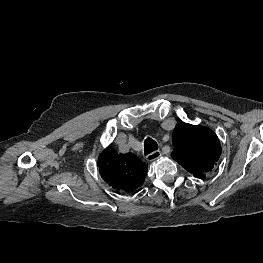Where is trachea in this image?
<instances>
[{"mask_svg":"<svg viewBox=\"0 0 263 263\" xmlns=\"http://www.w3.org/2000/svg\"><path fill=\"white\" fill-rule=\"evenodd\" d=\"M158 149L157 143L152 138H147L144 141V154L148 155Z\"/></svg>","mask_w":263,"mask_h":263,"instance_id":"trachea-1","label":"trachea"}]
</instances>
